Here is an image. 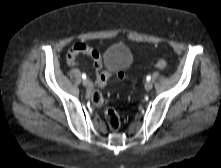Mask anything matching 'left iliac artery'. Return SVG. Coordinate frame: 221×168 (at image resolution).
<instances>
[{
    "instance_id": "left-iliac-artery-1",
    "label": "left iliac artery",
    "mask_w": 221,
    "mask_h": 168,
    "mask_svg": "<svg viewBox=\"0 0 221 168\" xmlns=\"http://www.w3.org/2000/svg\"><path fill=\"white\" fill-rule=\"evenodd\" d=\"M146 80H147V81H150V80H151V76L148 75V76L146 77Z\"/></svg>"
}]
</instances>
